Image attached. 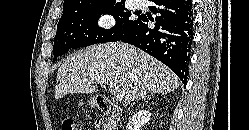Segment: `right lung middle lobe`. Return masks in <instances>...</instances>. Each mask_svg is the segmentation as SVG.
I'll list each match as a JSON object with an SVG mask.
<instances>
[{"label":"right lung middle lobe","mask_w":249,"mask_h":130,"mask_svg":"<svg viewBox=\"0 0 249 130\" xmlns=\"http://www.w3.org/2000/svg\"><path fill=\"white\" fill-rule=\"evenodd\" d=\"M125 1L97 3L77 11H63L58 22L54 41V59L70 49L93 44L118 41L138 21L126 11ZM101 14H110L116 19L115 27L106 30L97 25Z\"/></svg>","instance_id":"right-lung-middle-lobe-1"}]
</instances>
